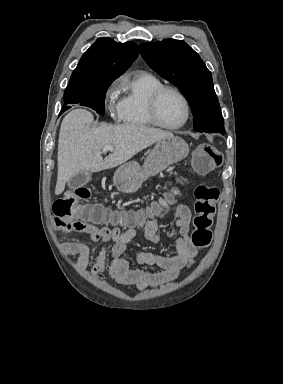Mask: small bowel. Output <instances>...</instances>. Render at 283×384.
<instances>
[{"mask_svg":"<svg viewBox=\"0 0 283 384\" xmlns=\"http://www.w3.org/2000/svg\"><path fill=\"white\" fill-rule=\"evenodd\" d=\"M174 185L173 182L169 183ZM171 214L176 230L179 234L172 243L173 252L157 254L131 250L135 261L139 265L156 266L160 271L150 272L141 268H132L125 257L130 242L135 237L133 227L124 230L118 227H98L86 222L67 223L55 216L54 226L57 230L76 233L87 237L92 242H101L102 247L92 266V274L95 277L104 271L107 259V247L111 244V263L109 275L119 285H135L139 291H145L163 285L177 278L184 269L191 268L195 263L198 248L189 237L191 228V211L185 204H166L161 208H155L154 217L144 224V233L148 240L159 241V220L167 214ZM66 255H76L77 264L80 269L88 266L90 259V247L81 241H71L63 245Z\"/></svg>","mask_w":283,"mask_h":384,"instance_id":"c3829d8e","label":"small bowel"}]
</instances>
